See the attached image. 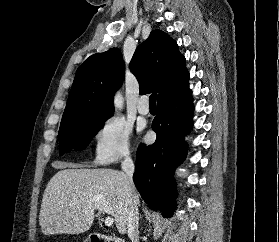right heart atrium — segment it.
Wrapping results in <instances>:
<instances>
[{
  "mask_svg": "<svg viewBox=\"0 0 279 242\" xmlns=\"http://www.w3.org/2000/svg\"><path fill=\"white\" fill-rule=\"evenodd\" d=\"M131 127L121 118L108 120L95 138L93 161L111 165L127 160L131 156Z\"/></svg>",
  "mask_w": 279,
  "mask_h": 242,
  "instance_id": "obj_1",
  "label": "right heart atrium"
}]
</instances>
